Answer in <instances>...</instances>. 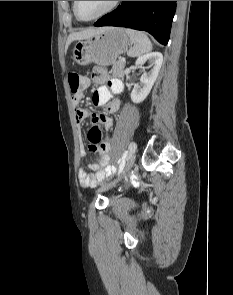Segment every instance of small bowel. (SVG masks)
<instances>
[{
  "mask_svg": "<svg viewBox=\"0 0 233 295\" xmlns=\"http://www.w3.org/2000/svg\"><path fill=\"white\" fill-rule=\"evenodd\" d=\"M92 76L94 81L101 85L94 92L92 100L94 105L102 107L104 112L103 114L93 115L92 122L94 126L108 130L112 126V119L109 115L116 113L120 108V100L112 98V94L121 93L123 84L119 79H108L105 70L101 68L94 69ZM82 99L83 92L74 94L72 97L75 106V119L78 123H82L88 117V111L78 106ZM109 149L110 144L106 140L101 145V157L89 166L92 172L87 173L83 169L79 170L78 178L82 187H94L115 172L116 168L108 164ZM81 156H84V150H81Z\"/></svg>",
  "mask_w": 233,
  "mask_h": 295,
  "instance_id": "c3829d8e",
  "label": "small bowel"
}]
</instances>
